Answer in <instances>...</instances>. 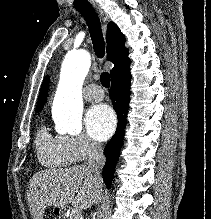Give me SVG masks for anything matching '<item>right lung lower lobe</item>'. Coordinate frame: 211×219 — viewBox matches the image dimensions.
<instances>
[{
	"instance_id": "98d812e1",
	"label": "right lung lower lobe",
	"mask_w": 211,
	"mask_h": 219,
	"mask_svg": "<svg viewBox=\"0 0 211 219\" xmlns=\"http://www.w3.org/2000/svg\"><path fill=\"white\" fill-rule=\"evenodd\" d=\"M130 80V67L120 71L111 78L110 98L118 116V125L115 135L104 149L106 163L103 168V180L108 188H110L111 181L113 180L116 161L119 156L120 147L123 144L130 97Z\"/></svg>"
}]
</instances>
